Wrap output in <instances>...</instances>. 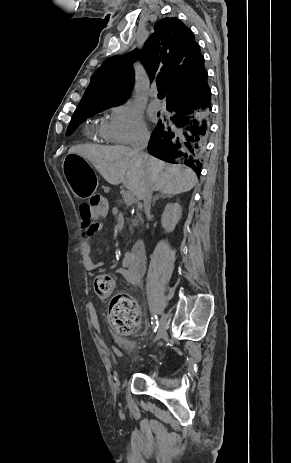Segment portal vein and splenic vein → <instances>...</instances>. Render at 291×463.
I'll use <instances>...</instances> for the list:
<instances>
[{"mask_svg":"<svg viewBox=\"0 0 291 463\" xmlns=\"http://www.w3.org/2000/svg\"><path fill=\"white\" fill-rule=\"evenodd\" d=\"M123 199L125 201V203L127 204H132L133 201H134V195L133 193L128 189L125 191L124 195H123Z\"/></svg>","mask_w":291,"mask_h":463,"instance_id":"18ae733b","label":"portal vein and splenic vein"}]
</instances>
